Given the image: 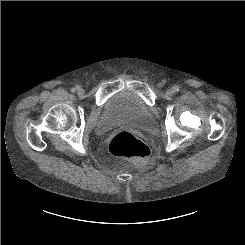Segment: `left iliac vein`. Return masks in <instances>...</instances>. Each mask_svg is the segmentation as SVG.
<instances>
[{
	"instance_id": "4c4485c4",
	"label": "left iliac vein",
	"mask_w": 245,
	"mask_h": 245,
	"mask_svg": "<svg viewBox=\"0 0 245 245\" xmlns=\"http://www.w3.org/2000/svg\"><path fill=\"white\" fill-rule=\"evenodd\" d=\"M174 94V91L172 89L167 90L166 95L172 96Z\"/></svg>"
}]
</instances>
